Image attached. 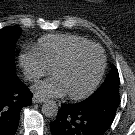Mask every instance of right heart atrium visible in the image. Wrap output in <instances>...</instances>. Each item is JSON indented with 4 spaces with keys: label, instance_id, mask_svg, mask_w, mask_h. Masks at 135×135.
<instances>
[{
    "label": "right heart atrium",
    "instance_id": "obj_1",
    "mask_svg": "<svg viewBox=\"0 0 135 135\" xmlns=\"http://www.w3.org/2000/svg\"><path fill=\"white\" fill-rule=\"evenodd\" d=\"M19 62L29 81H37L50 72V68L35 49L23 52L19 57Z\"/></svg>",
    "mask_w": 135,
    "mask_h": 135
}]
</instances>
